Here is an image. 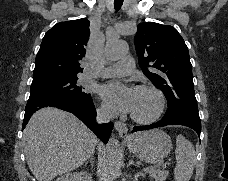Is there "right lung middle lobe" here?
Listing matches in <instances>:
<instances>
[{"instance_id": "obj_1", "label": "right lung middle lobe", "mask_w": 228, "mask_h": 181, "mask_svg": "<svg viewBox=\"0 0 228 181\" xmlns=\"http://www.w3.org/2000/svg\"><path fill=\"white\" fill-rule=\"evenodd\" d=\"M77 80L76 74L33 78L29 98L53 96L77 102L91 101V95L77 85Z\"/></svg>"}]
</instances>
